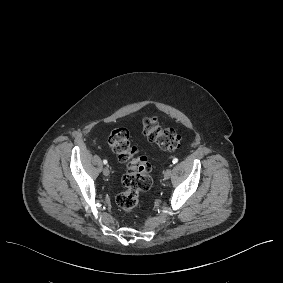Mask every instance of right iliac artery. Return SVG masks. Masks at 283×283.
Here are the masks:
<instances>
[{
  "label": "right iliac artery",
  "mask_w": 283,
  "mask_h": 283,
  "mask_svg": "<svg viewBox=\"0 0 283 283\" xmlns=\"http://www.w3.org/2000/svg\"><path fill=\"white\" fill-rule=\"evenodd\" d=\"M103 163H104V164H107V160H103Z\"/></svg>",
  "instance_id": "1"
}]
</instances>
